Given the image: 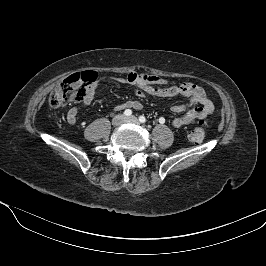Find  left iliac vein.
I'll return each mask as SVG.
<instances>
[{
	"label": "left iliac vein",
	"instance_id": "1",
	"mask_svg": "<svg viewBox=\"0 0 266 266\" xmlns=\"http://www.w3.org/2000/svg\"><path fill=\"white\" fill-rule=\"evenodd\" d=\"M126 121L134 123V124L138 123V119L135 116H130V117L126 118Z\"/></svg>",
	"mask_w": 266,
	"mask_h": 266
}]
</instances>
